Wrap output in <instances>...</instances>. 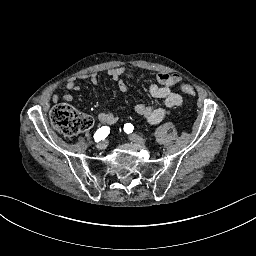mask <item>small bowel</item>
<instances>
[{
    "label": "small bowel",
    "instance_id": "small-bowel-1",
    "mask_svg": "<svg viewBox=\"0 0 256 256\" xmlns=\"http://www.w3.org/2000/svg\"><path fill=\"white\" fill-rule=\"evenodd\" d=\"M108 76L117 82L118 89L127 91L128 86L122 81V76L125 74L124 67H116L108 70ZM80 79H88L93 85L98 84V74L93 72L88 75H81ZM157 83L149 86L151 96L157 100L153 105L140 103L134 108L135 113L143 117L150 124H157L163 120L168 108L180 106L183 103V97L174 92L175 86L180 82L179 76L167 72H161L157 75ZM66 89L69 92L78 91L80 89L77 81L71 79L66 83ZM62 99L65 102H70L74 99L71 93L65 94L62 98L54 95L52 100L54 103ZM97 119L105 124L113 127L118 118L110 111H101L97 114Z\"/></svg>",
    "mask_w": 256,
    "mask_h": 256
}]
</instances>
